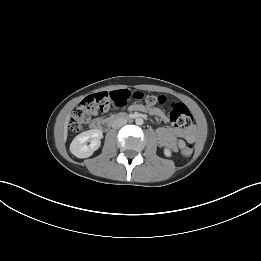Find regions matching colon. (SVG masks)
Wrapping results in <instances>:
<instances>
[{
  "label": "colon",
  "mask_w": 261,
  "mask_h": 261,
  "mask_svg": "<svg viewBox=\"0 0 261 261\" xmlns=\"http://www.w3.org/2000/svg\"><path fill=\"white\" fill-rule=\"evenodd\" d=\"M133 98L136 101H143L145 106L153 108L156 105H163L166 102L164 96L153 94L144 95L141 92L130 93L127 90H115L112 92H100L86 97L79 107L73 112L69 129L72 133L83 130L89 122L91 116L108 110L111 104L117 107H124L129 100ZM171 122L179 127H189L193 123V116L189 109L183 104L174 102L170 106L169 112ZM193 143H187L182 146L181 153L184 157H189L193 153Z\"/></svg>",
  "instance_id": "obj_1"
}]
</instances>
